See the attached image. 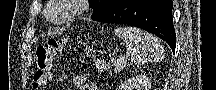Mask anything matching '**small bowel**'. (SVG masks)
Here are the masks:
<instances>
[{
  "instance_id": "small-bowel-1",
  "label": "small bowel",
  "mask_w": 216,
  "mask_h": 90,
  "mask_svg": "<svg viewBox=\"0 0 216 90\" xmlns=\"http://www.w3.org/2000/svg\"><path fill=\"white\" fill-rule=\"evenodd\" d=\"M74 85L76 90H95L93 83L88 82L83 76L77 75L74 77Z\"/></svg>"
}]
</instances>
